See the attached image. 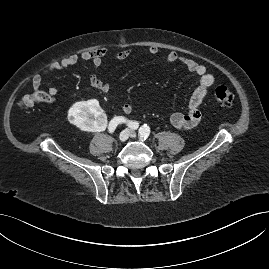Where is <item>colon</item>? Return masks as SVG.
Returning <instances> with one entry per match:
<instances>
[{
  "instance_id": "colon-1",
  "label": "colon",
  "mask_w": 269,
  "mask_h": 269,
  "mask_svg": "<svg viewBox=\"0 0 269 269\" xmlns=\"http://www.w3.org/2000/svg\"><path fill=\"white\" fill-rule=\"evenodd\" d=\"M213 97L217 103L230 107L235 101V92L230 87L219 86L215 89ZM44 99L45 95L43 92L33 90L23 96L20 104L23 107H30L35 103L42 102Z\"/></svg>"
}]
</instances>
